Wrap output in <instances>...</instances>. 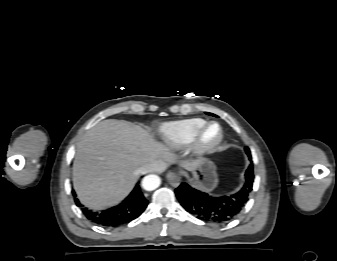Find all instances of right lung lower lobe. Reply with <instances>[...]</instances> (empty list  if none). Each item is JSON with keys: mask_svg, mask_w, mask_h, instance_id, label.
Instances as JSON below:
<instances>
[{"mask_svg": "<svg viewBox=\"0 0 337 261\" xmlns=\"http://www.w3.org/2000/svg\"><path fill=\"white\" fill-rule=\"evenodd\" d=\"M75 201L91 222L104 227H118L129 223L140 216L148 204V201L141 192L139 183L136 184L130 195L118 206L101 212H92L84 208L78 199H75Z\"/></svg>", "mask_w": 337, "mask_h": 261, "instance_id": "obj_1", "label": "right lung lower lobe"}]
</instances>
